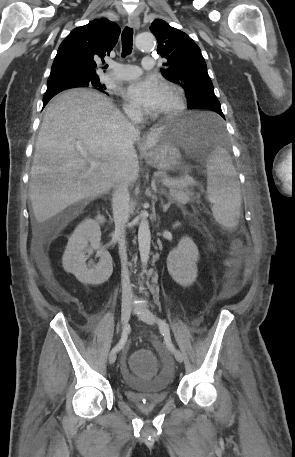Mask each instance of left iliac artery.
Returning <instances> with one entry per match:
<instances>
[{
	"mask_svg": "<svg viewBox=\"0 0 295 457\" xmlns=\"http://www.w3.org/2000/svg\"><path fill=\"white\" fill-rule=\"evenodd\" d=\"M158 325H159V328H160V331H161L162 335L164 336V339H165V342H166V345H167L168 349L171 352H174L175 351V347L173 346V344L171 342L170 330H169L168 324L166 323V321L158 318Z\"/></svg>",
	"mask_w": 295,
	"mask_h": 457,
	"instance_id": "1",
	"label": "left iliac artery"
}]
</instances>
